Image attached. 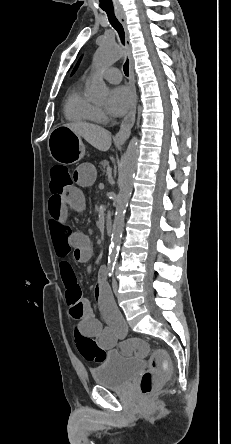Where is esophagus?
<instances>
[{"label":"esophagus","instance_id":"1","mask_svg":"<svg viewBox=\"0 0 231 444\" xmlns=\"http://www.w3.org/2000/svg\"><path fill=\"white\" fill-rule=\"evenodd\" d=\"M116 16L119 19L120 23L122 24L125 36H126V48L128 53V59H129V86L131 88L132 94H133V104L131 107L130 112L126 115V117L122 120L120 129L115 135V141L119 143L125 142L130 134L131 129L135 123V117H136V106H137V93H136V87H135V80H134V62L132 57V47L129 40V32L127 28V21L126 16L123 11H116Z\"/></svg>","mask_w":231,"mask_h":444}]
</instances>
